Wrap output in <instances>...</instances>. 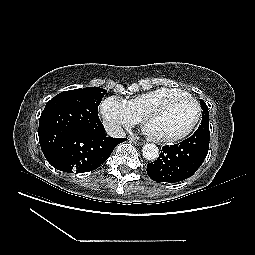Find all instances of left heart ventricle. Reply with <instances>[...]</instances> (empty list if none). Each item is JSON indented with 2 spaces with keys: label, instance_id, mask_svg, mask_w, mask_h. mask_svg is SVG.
I'll list each match as a JSON object with an SVG mask.
<instances>
[{
  "label": "left heart ventricle",
  "instance_id": "left-heart-ventricle-1",
  "mask_svg": "<svg viewBox=\"0 0 255 255\" xmlns=\"http://www.w3.org/2000/svg\"><path fill=\"white\" fill-rule=\"evenodd\" d=\"M195 115L196 108L189 100L175 97L150 114L145 126L155 136L176 135L191 125Z\"/></svg>",
  "mask_w": 255,
  "mask_h": 255
}]
</instances>
